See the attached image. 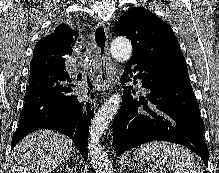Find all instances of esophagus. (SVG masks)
Returning a JSON list of instances; mask_svg holds the SVG:
<instances>
[{
	"instance_id": "obj_1",
	"label": "esophagus",
	"mask_w": 219,
	"mask_h": 173,
	"mask_svg": "<svg viewBox=\"0 0 219 173\" xmlns=\"http://www.w3.org/2000/svg\"><path fill=\"white\" fill-rule=\"evenodd\" d=\"M92 41L99 70L98 87L105 93L106 90L112 88L116 77V68L109 54L108 30L104 22L100 21L96 24L92 34Z\"/></svg>"
}]
</instances>
